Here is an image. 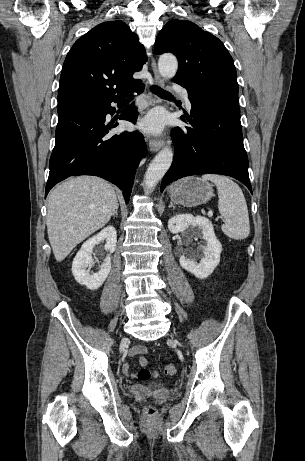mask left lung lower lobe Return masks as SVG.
<instances>
[{"label": "left lung lower lobe", "instance_id": "0a47b994", "mask_svg": "<svg viewBox=\"0 0 305 461\" xmlns=\"http://www.w3.org/2000/svg\"><path fill=\"white\" fill-rule=\"evenodd\" d=\"M191 117L181 120L193 127L172 130L175 143L173 163L161 183L165 186L179 178L214 173L241 181L252 193L248 174V158L235 90H189Z\"/></svg>", "mask_w": 305, "mask_h": 461}]
</instances>
